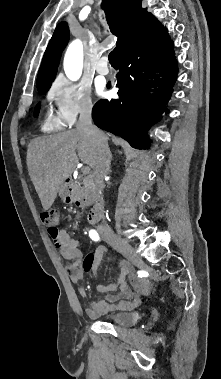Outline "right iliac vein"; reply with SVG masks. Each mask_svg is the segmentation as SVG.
I'll return each instance as SVG.
<instances>
[{
	"label": "right iliac vein",
	"mask_w": 221,
	"mask_h": 379,
	"mask_svg": "<svg viewBox=\"0 0 221 379\" xmlns=\"http://www.w3.org/2000/svg\"><path fill=\"white\" fill-rule=\"evenodd\" d=\"M106 241L125 256L130 257L136 261L140 260L135 249L120 237L116 235H108L106 236Z\"/></svg>",
	"instance_id": "right-iliac-vein-1"
}]
</instances>
